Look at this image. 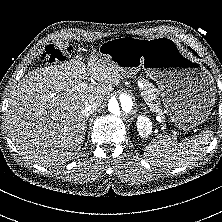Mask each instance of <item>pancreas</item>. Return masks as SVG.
Segmentation results:
<instances>
[{"instance_id":"pancreas-1","label":"pancreas","mask_w":222,"mask_h":222,"mask_svg":"<svg viewBox=\"0 0 222 222\" xmlns=\"http://www.w3.org/2000/svg\"><path fill=\"white\" fill-rule=\"evenodd\" d=\"M140 82L144 85V90L142 91V96L144 100L147 102L149 108L157 113L162 115L163 110L160 108V103L159 101L155 100V95L154 93L156 92V88L149 83L146 79H140Z\"/></svg>"}]
</instances>
